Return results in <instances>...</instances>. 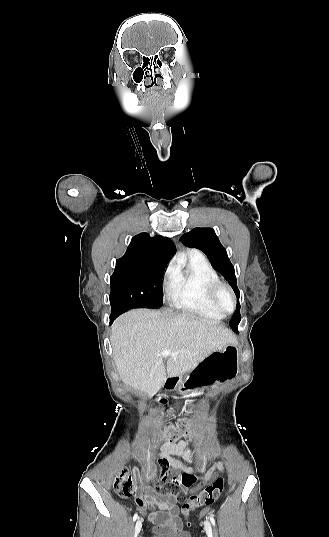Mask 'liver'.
I'll return each mask as SVG.
<instances>
[{
	"instance_id": "obj_1",
	"label": "liver",
	"mask_w": 329,
	"mask_h": 537,
	"mask_svg": "<svg viewBox=\"0 0 329 537\" xmlns=\"http://www.w3.org/2000/svg\"><path fill=\"white\" fill-rule=\"evenodd\" d=\"M111 329L121 380L149 398L161 389L167 376L190 372L210 353L237 343L231 330L190 313L136 309L121 315ZM165 350L170 352L167 356L162 355Z\"/></svg>"
}]
</instances>
